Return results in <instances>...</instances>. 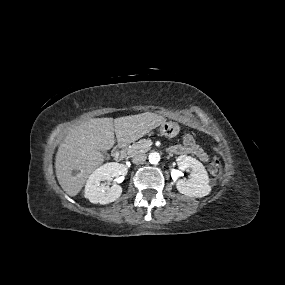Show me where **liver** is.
<instances>
[{
  "instance_id": "1",
  "label": "liver",
  "mask_w": 285,
  "mask_h": 285,
  "mask_svg": "<svg viewBox=\"0 0 285 285\" xmlns=\"http://www.w3.org/2000/svg\"><path fill=\"white\" fill-rule=\"evenodd\" d=\"M151 112L118 118H92L73 127L60 144L55 158L58 182L69 196H76L90 174L104 161L101 151L115 143L125 146L165 122ZM73 171L77 173L74 175Z\"/></svg>"
}]
</instances>
